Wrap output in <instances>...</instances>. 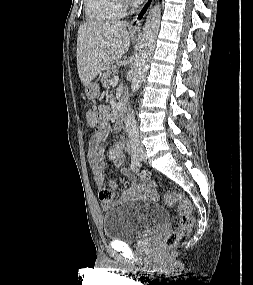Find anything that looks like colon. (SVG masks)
<instances>
[{"label": "colon", "mask_w": 253, "mask_h": 285, "mask_svg": "<svg viewBox=\"0 0 253 285\" xmlns=\"http://www.w3.org/2000/svg\"><path fill=\"white\" fill-rule=\"evenodd\" d=\"M86 118L91 127H98L102 121L98 113L94 111H88ZM100 198L102 200H109L112 198V193L109 190H102L100 192ZM164 203L172 207L178 205L179 207V224L176 229L169 232L163 240L164 248L174 247L182 238L188 236L195 224V216L193 213L192 203L183 194L168 191L163 198Z\"/></svg>", "instance_id": "1"}]
</instances>
